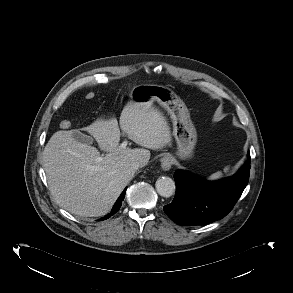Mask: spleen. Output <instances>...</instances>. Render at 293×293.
<instances>
[{"label": "spleen", "mask_w": 293, "mask_h": 293, "mask_svg": "<svg viewBox=\"0 0 293 293\" xmlns=\"http://www.w3.org/2000/svg\"><path fill=\"white\" fill-rule=\"evenodd\" d=\"M229 169V167H225L224 168V172H227ZM223 176V173L221 171H218L216 173H213L210 177L209 180L213 181V180H218Z\"/></svg>", "instance_id": "1"}]
</instances>
